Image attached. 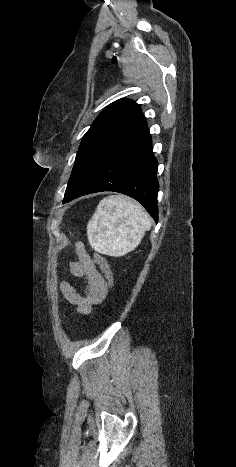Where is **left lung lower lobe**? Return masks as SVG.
<instances>
[{"instance_id":"obj_1","label":"left lung lower lobe","mask_w":236,"mask_h":467,"mask_svg":"<svg viewBox=\"0 0 236 467\" xmlns=\"http://www.w3.org/2000/svg\"><path fill=\"white\" fill-rule=\"evenodd\" d=\"M157 169L144 118L109 147L89 178L63 203L95 192L115 191L139 201L157 222Z\"/></svg>"}]
</instances>
